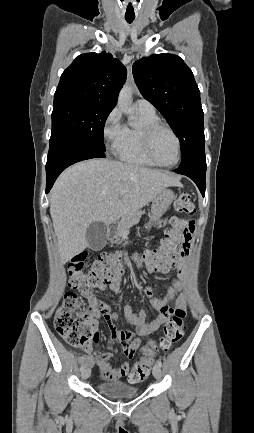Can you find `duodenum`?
Masks as SVG:
<instances>
[{"instance_id":"1","label":"duodenum","mask_w":254,"mask_h":433,"mask_svg":"<svg viewBox=\"0 0 254 433\" xmlns=\"http://www.w3.org/2000/svg\"><path fill=\"white\" fill-rule=\"evenodd\" d=\"M114 229H115V224L112 223L108 226V235L109 236H111L113 234Z\"/></svg>"}]
</instances>
